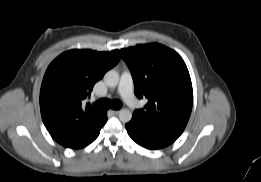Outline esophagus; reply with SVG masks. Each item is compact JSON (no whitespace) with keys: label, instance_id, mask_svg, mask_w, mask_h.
Listing matches in <instances>:
<instances>
[{"label":"esophagus","instance_id":"1","mask_svg":"<svg viewBox=\"0 0 261 182\" xmlns=\"http://www.w3.org/2000/svg\"><path fill=\"white\" fill-rule=\"evenodd\" d=\"M110 112H112L113 114H118L120 112V110H110Z\"/></svg>","mask_w":261,"mask_h":182}]
</instances>
